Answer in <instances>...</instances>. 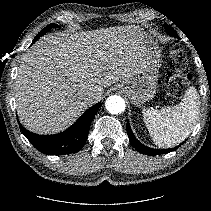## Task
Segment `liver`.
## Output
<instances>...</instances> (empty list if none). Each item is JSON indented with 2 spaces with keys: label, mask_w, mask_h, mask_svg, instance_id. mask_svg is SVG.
Masks as SVG:
<instances>
[{
  "label": "liver",
  "mask_w": 211,
  "mask_h": 211,
  "mask_svg": "<svg viewBox=\"0 0 211 211\" xmlns=\"http://www.w3.org/2000/svg\"><path fill=\"white\" fill-rule=\"evenodd\" d=\"M145 50L136 27L118 26L39 39L23 55L15 79L17 113L28 130L55 134L70 127L99 100L104 88L135 75Z\"/></svg>",
  "instance_id": "liver-1"
}]
</instances>
